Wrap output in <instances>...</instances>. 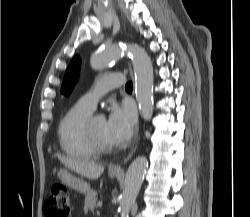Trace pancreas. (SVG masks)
I'll use <instances>...</instances> for the list:
<instances>
[{"label": "pancreas", "instance_id": "1", "mask_svg": "<svg viewBox=\"0 0 250 217\" xmlns=\"http://www.w3.org/2000/svg\"><path fill=\"white\" fill-rule=\"evenodd\" d=\"M97 201V192L94 190H90L86 197H85V205H84V211H94V208L96 206Z\"/></svg>", "mask_w": 250, "mask_h": 217}]
</instances>
